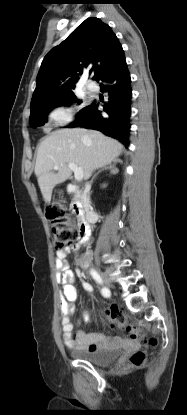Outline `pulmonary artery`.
I'll return each instance as SVG.
<instances>
[{
	"mask_svg": "<svg viewBox=\"0 0 187 415\" xmlns=\"http://www.w3.org/2000/svg\"><path fill=\"white\" fill-rule=\"evenodd\" d=\"M85 89H86L88 92H94V91L96 90V87H95V85H94V84H92V83H87V84H86V86H85Z\"/></svg>",
	"mask_w": 187,
	"mask_h": 415,
	"instance_id": "obj_1",
	"label": "pulmonary artery"
}]
</instances>
